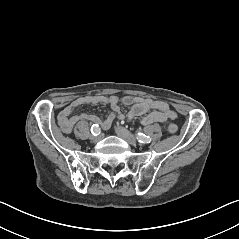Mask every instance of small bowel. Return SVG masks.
<instances>
[{"label": "small bowel", "instance_id": "obj_1", "mask_svg": "<svg viewBox=\"0 0 239 239\" xmlns=\"http://www.w3.org/2000/svg\"><path fill=\"white\" fill-rule=\"evenodd\" d=\"M121 101L124 105L130 107L129 119L141 117L140 123L142 125L164 124L177 117L176 112L165 101L132 96H124ZM119 103L120 99L116 95L80 97L63 108L58 116L59 125L65 133H70L74 124L79 121H90L103 129H108L115 118L123 119L125 117ZM87 104H108L111 106V112L105 117H98L87 113L73 115V112L78 107Z\"/></svg>", "mask_w": 239, "mask_h": 239}]
</instances>
